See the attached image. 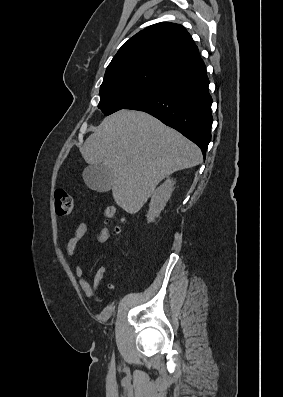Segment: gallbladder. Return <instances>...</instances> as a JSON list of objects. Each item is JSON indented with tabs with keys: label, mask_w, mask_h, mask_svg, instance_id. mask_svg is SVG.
<instances>
[{
	"label": "gallbladder",
	"mask_w": 283,
	"mask_h": 397,
	"mask_svg": "<svg viewBox=\"0 0 283 397\" xmlns=\"http://www.w3.org/2000/svg\"><path fill=\"white\" fill-rule=\"evenodd\" d=\"M83 179L91 190L107 192L112 188L113 170L101 163L89 165L83 171Z\"/></svg>",
	"instance_id": "1"
}]
</instances>
